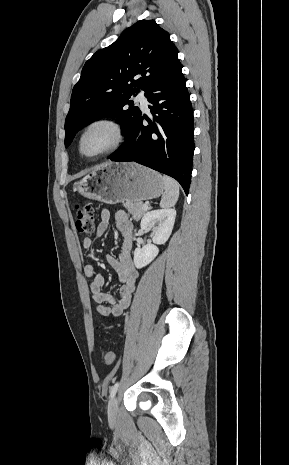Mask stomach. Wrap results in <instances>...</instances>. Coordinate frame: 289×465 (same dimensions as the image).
<instances>
[{
	"mask_svg": "<svg viewBox=\"0 0 289 465\" xmlns=\"http://www.w3.org/2000/svg\"><path fill=\"white\" fill-rule=\"evenodd\" d=\"M73 188L86 198L107 204L157 198L165 189L158 172L134 162L100 165Z\"/></svg>",
	"mask_w": 289,
	"mask_h": 465,
	"instance_id": "stomach-1",
	"label": "stomach"
}]
</instances>
